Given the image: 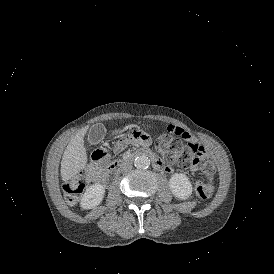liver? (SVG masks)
<instances>
[{
  "label": "liver",
  "mask_w": 274,
  "mask_h": 274,
  "mask_svg": "<svg viewBox=\"0 0 274 274\" xmlns=\"http://www.w3.org/2000/svg\"><path fill=\"white\" fill-rule=\"evenodd\" d=\"M88 126L80 129L68 143L61 161V177L64 182L75 178L87 163L86 149L84 147V135Z\"/></svg>",
  "instance_id": "obj_1"
}]
</instances>
